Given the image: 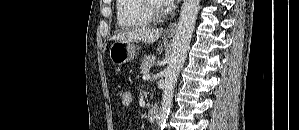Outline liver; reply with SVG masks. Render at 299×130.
<instances>
[{"instance_id":"liver-1","label":"liver","mask_w":299,"mask_h":130,"mask_svg":"<svg viewBox=\"0 0 299 130\" xmlns=\"http://www.w3.org/2000/svg\"><path fill=\"white\" fill-rule=\"evenodd\" d=\"M161 34L162 29L138 28L115 34L111 39L121 42L140 41L145 43H154L159 39Z\"/></svg>"}]
</instances>
